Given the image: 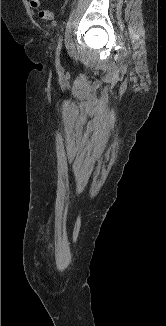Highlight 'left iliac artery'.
<instances>
[{"instance_id": "obj_1", "label": "left iliac artery", "mask_w": 166, "mask_h": 326, "mask_svg": "<svg viewBox=\"0 0 166 326\" xmlns=\"http://www.w3.org/2000/svg\"><path fill=\"white\" fill-rule=\"evenodd\" d=\"M61 47H62V36H60V38H59V43H58V46H57V53H60Z\"/></svg>"}]
</instances>
